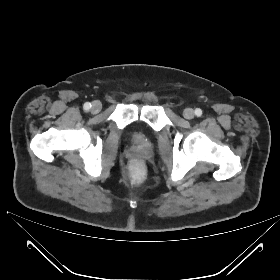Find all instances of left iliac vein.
Masks as SVG:
<instances>
[{
	"label": "left iliac vein",
	"instance_id": "1",
	"mask_svg": "<svg viewBox=\"0 0 280 280\" xmlns=\"http://www.w3.org/2000/svg\"><path fill=\"white\" fill-rule=\"evenodd\" d=\"M183 116L184 118L186 119H193L194 118V111L193 109L191 108H186L184 111H183Z\"/></svg>",
	"mask_w": 280,
	"mask_h": 280
}]
</instances>
